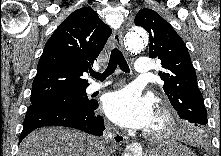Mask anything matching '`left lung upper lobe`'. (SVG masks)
Returning a JSON list of instances; mask_svg holds the SVG:
<instances>
[{
	"label": "left lung upper lobe",
	"mask_w": 221,
	"mask_h": 156,
	"mask_svg": "<svg viewBox=\"0 0 221 156\" xmlns=\"http://www.w3.org/2000/svg\"><path fill=\"white\" fill-rule=\"evenodd\" d=\"M135 25L149 33V56L161 60L159 72L163 90L179 117L189 124H207L203 96L187 47L173 27L157 12L143 8L135 16Z\"/></svg>",
	"instance_id": "left-lung-upper-lobe-1"
}]
</instances>
